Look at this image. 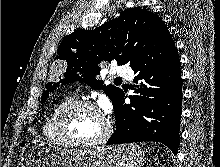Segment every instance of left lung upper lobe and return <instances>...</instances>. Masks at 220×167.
<instances>
[{
	"instance_id": "obj_1",
	"label": "left lung upper lobe",
	"mask_w": 220,
	"mask_h": 167,
	"mask_svg": "<svg viewBox=\"0 0 220 167\" xmlns=\"http://www.w3.org/2000/svg\"><path fill=\"white\" fill-rule=\"evenodd\" d=\"M174 48L173 36L157 14L140 8L126 9L98 28L77 30L63 39L56 59L66 61L67 69L60 82L65 85L80 81L102 89L114 105L123 91L96 79L102 60L116 59L118 65L128 63L133 69L166 56ZM58 86L59 83H48L41 103Z\"/></svg>"
}]
</instances>
